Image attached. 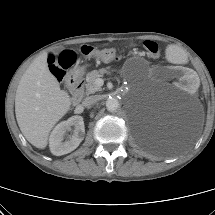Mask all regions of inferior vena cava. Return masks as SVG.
<instances>
[{"instance_id": "inferior-vena-cava-1", "label": "inferior vena cava", "mask_w": 215, "mask_h": 215, "mask_svg": "<svg viewBox=\"0 0 215 215\" xmlns=\"http://www.w3.org/2000/svg\"><path fill=\"white\" fill-rule=\"evenodd\" d=\"M98 101H99L98 96H89L83 100L82 105L84 107H90L92 105H95Z\"/></svg>"}]
</instances>
